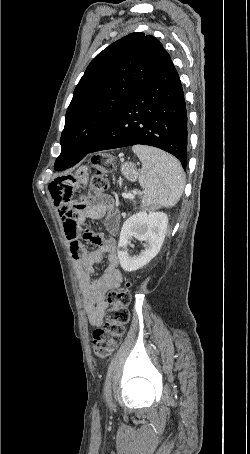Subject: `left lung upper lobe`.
<instances>
[{
    "mask_svg": "<svg viewBox=\"0 0 250 454\" xmlns=\"http://www.w3.org/2000/svg\"><path fill=\"white\" fill-rule=\"evenodd\" d=\"M152 35L131 33L100 52L74 90L61 154L86 155L118 111L170 60Z\"/></svg>",
    "mask_w": 250,
    "mask_h": 454,
    "instance_id": "obj_1",
    "label": "left lung upper lobe"
}]
</instances>
